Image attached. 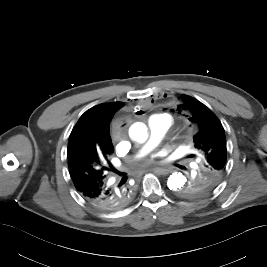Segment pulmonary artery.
<instances>
[{
    "label": "pulmonary artery",
    "mask_w": 267,
    "mask_h": 267,
    "mask_svg": "<svg viewBox=\"0 0 267 267\" xmlns=\"http://www.w3.org/2000/svg\"><path fill=\"white\" fill-rule=\"evenodd\" d=\"M171 125V119L166 114H159L150 118L148 122L149 140L144 145L141 153L151 150L168 132Z\"/></svg>",
    "instance_id": "pulmonary-artery-1"
}]
</instances>
